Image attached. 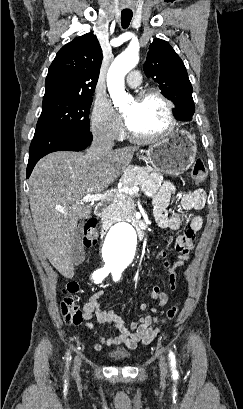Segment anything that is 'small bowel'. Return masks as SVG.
I'll use <instances>...</instances> for the list:
<instances>
[{
	"label": "small bowel",
	"instance_id": "c3829d8e",
	"mask_svg": "<svg viewBox=\"0 0 243 409\" xmlns=\"http://www.w3.org/2000/svg\"><path fill=\"white\" fill-rule=\"evenodd\" d=\"M145 191L152 198L153 215L160 228L177 230L185 225L183 233L177 237L175 250L177 257L173 263L167 259L165 251L160 252L163 258V268L168 275V285L171 292L177 288V271L188 259L193 248L196 233L201 230L203 220L199 215L194 214H170L167 207L171 196L175 192V187L171 182L162 181L157 175L152 176L145 186ZM206 192L203 189H196L185 192L180 196L181 207L186 210H198L205 205ZM103 291H97L84 304L85 327L93 330L95 337L100 343L95 344L96 349L101 348V344L120 345L124 344L129 348H136L139 345H146L153 341L160 331L157 326L158 315L162 313L163 307L167 304L169 296L162 291L161 287L155 285L149 294L150 299L155 303L151 309L152 314H146L129 325L112 310H108L102 305ZM148 305L145 302L139 304L138 309L145 311ZM96 315L100 324L113 327L118 335L115 337L103 335L95 330L94 325L89 322L93 315Z\"/></svg>",
	"mask_w": 243,
	"mask_h": 409
}]
</instances>
